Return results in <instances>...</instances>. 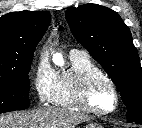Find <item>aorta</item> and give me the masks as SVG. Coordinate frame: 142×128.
<instances>
[{
    "label": "aorta",
    "instance_id": "obj_1",
    "mask_svg": "<svg viewBox=\"0 0 142 128\" xmlns=\"http://www.w3.org/2000/svg\"><path fill=\"white\" fill-rule=\"evenodd\" d=\"M55 63H56L57 65L62 66V65L64 64V61H63L62 57L60 56V57H56V58H55Z\"/></svg>",
    "mask_w": 142,
    "mask_h": 128
}]
</instances>
